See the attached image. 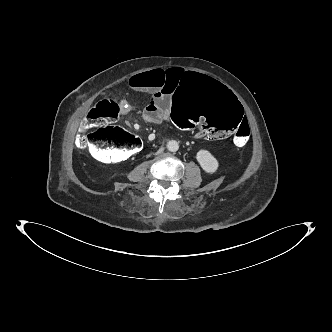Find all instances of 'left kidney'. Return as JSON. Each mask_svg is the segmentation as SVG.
<instances>
[{"label":"left kidney","instance_id":"5707ae66","mask_svg":"<svg viewBox=\"0 0 332 332\" xmlns=\"http://www.w3.org/2000/svg\"><path fill=\"white\" fill-rule=\"evenodd\" d=\"M196 159L206 173L212 174L219 167L217 159L208 150H199L196 154Z\"/></svg>","mask_w":332,"mask_h":332}]
</instances>
